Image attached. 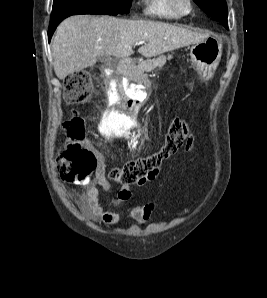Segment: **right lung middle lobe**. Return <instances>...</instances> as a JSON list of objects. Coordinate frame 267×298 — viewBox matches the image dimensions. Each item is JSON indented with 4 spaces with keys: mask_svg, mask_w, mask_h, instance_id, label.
<instances>
[{
    "mask_svg": "<svg viewBox=\"0 0 267 298\" xmlns=\"http://www.w3.org/2000/svg\"><path fill=\"white\" fill-rule=\"evenodd\" d=\"M131 3V0H54L50 23L76 14H127Z\"/></svg>",
    "mask_w": 267,
    "mask_h": 298,
    "instance_id": "1",
    "label": "right lung middle lobe"
}]
</instances>
